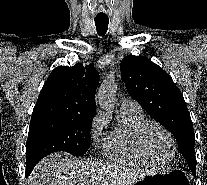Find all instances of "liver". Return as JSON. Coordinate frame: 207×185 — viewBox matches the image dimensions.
Wrapping results in <instances>:
<instances>
[{
	"label": "liver",
	"mask_w": 207,
	"mask_h": 185,
	"mask_svg": "<svg viewBox=\"0 0 207 185\" xmlns=\"http://www.w3.org/2000/svg\"><path fill=\"white\" fill-rule=\"evenodd\" d=\"M90 161L54 153L44 157L30 175V185H95V169Z\"/></svg>",
	"instance_id": "6515ba94"
}]
</instances>
